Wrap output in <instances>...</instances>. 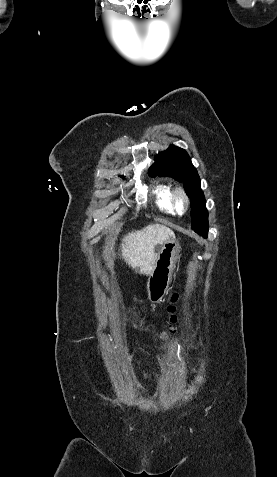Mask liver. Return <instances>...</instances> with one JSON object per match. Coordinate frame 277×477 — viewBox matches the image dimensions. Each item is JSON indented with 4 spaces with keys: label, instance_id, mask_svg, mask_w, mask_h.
I'll return each instance as SVG.
<instances>
[{
    "label": "liver",
    "instance_id": "obj_1",
    "mask_svg": "<svg viewBox=\"0 0 277 477\" xmlns=\"http://www.w3.org/2000/svg\"><path fill=\"white\" fill-rule=\"evenodd\" d=\"M172 237L175 234L170 228L161 224H149L124 236L121 256L129 266L140 267L141 274L149 275L158 257L159 251L156 252L155 247Z\"/></svg>",
    "mask_w": 277,
    "mask_h": 477
}]
</instances>
